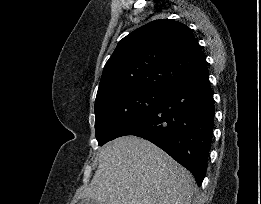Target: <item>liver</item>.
<instances>
[{"label": "liver", "mask_w": 261, "mask_h": 204, "mask_svg": "<svg viewBox=\"0 0 261 204\" xmlns=\"http://www.w3.org/2000/svg\"><path fill=\"white\" fill-rule=\"evenodd\" d=\"M99 165L74 202L99 204H190L194 178L162 149L133 135L119 137L99 151Z\"/></svg>", "instance_id": "obj_1"}]
</instances>
